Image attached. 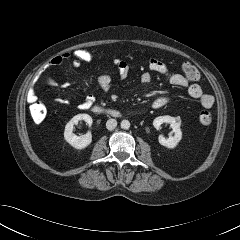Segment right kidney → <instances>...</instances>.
Wrapping results in <instances>:
<instances>
[{"label":"right kidney","mask_w":240,"mask_h":240,"mask_svg":"<svg viewBox=\"0 0 240 240\" xmlns=\"http://www.w3.org/2000/svg\"><path fill=\"white\" fill-rule=\"evenodd\" d=\"M80 120H84L89 126H91L93 123L92 117L88 114L75 115L65 126L64 139L75 149L81 150L91 144L92 135L91 132H88L81 136H77L73 133L74 125L77 124Z\"/></svg>","instance_id":"obj_1"}]
</instances>
